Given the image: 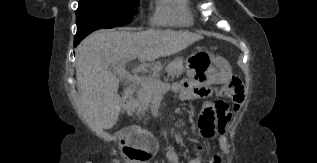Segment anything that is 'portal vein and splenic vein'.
Here are the masks:
<instances>
[{
  "mask_svg": "<svg viewBox=\"0 0 317 163\" xmlns=\"http://www.w3.org/2000/svg\"><path fill=\"white\" fill-rule=\"evenodd\" d=\"M132 59L134 58L127 57L122 61L112 65L111 68L114 71V74H116L121 79H126L127 81L135 84H146L148 82L147 79L139 77L137 74L132 75L125 70V64L131 61ZM154 84L158 91H161L165 88V83H163L161 80L155 81Z\"/></svg>",
  "mask_w": 317,
  "mask_h": 163,
  "instance_id": "obj_1",
  "label": "portal vein and splenic vein"
}]
</instances>
